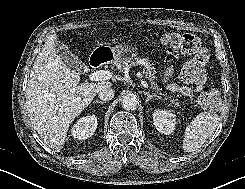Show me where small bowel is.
<instances>
[{
	"mask_svg": "<svg viewBox=\"0 0 245 189\" xmlns=\"http://www.w3.org/2000/svg\"><path fill=\"white\" fill-rule=\"evenodd\" d=\"M171 73H172V69L168 68L165 71V74L163 77V81H164V83H166L167 89L170 91L180 92L184 96L191 97V96L195 95L196 93L201 92L205 87V81L204 80L197 83L194 87H179L178 85H176L174 83H169L168 78H169Z\"/></svg>",
	"mask_w": 245,
	"mask_h": 189,
	"instance_id": "c3829d8e",
	"label": "small bowel"
}]
</instances>
